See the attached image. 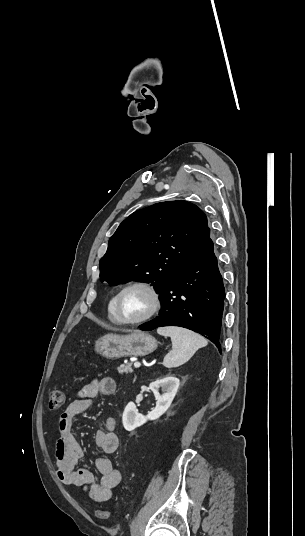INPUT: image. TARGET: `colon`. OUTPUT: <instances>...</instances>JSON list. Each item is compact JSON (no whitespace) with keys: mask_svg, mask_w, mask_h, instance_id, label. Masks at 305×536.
I'll use <instances>...</instances> for the list:
<instances>
[{"mask_svg":"<svg viewBox=\"0 0 305 536\" xmlns=\"http://www.w3.org/2000/svg\"><path fill=\"white\" fill-rule=\"evenodd\" d=\"M65 404V393L62 390H51L48 395V408L50 411H58ZM99 519H108L111 512L108 510H97L94 512Z\"/></svg>","mask_w":305,"mask_h":536,"instance_id":"1","label":"colon"}]
</instances>
